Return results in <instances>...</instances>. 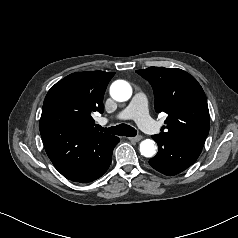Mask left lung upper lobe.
Masks as SVG:
<instances>
[{"label":"left lung upper lobe","instance_id":"5c2ea615","mask_svg":"<svg viewBox=\"0 0 238 238\" xmlns=\"http://www.w3.org/2000/svg\"><path fill=\"white\" fill-rule=\"evenodd\" d=\"M136 73L151 84L156 112L168 115L162 132L153 136L202 149L210 120L207 99L198 81L178 68L149 67Z\"/></svg>","mask_w":238,"mask_h":238}]
</instances>
